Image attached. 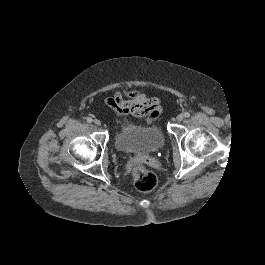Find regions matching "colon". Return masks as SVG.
Masks as SVG:
<instances>
[{"label": "colon", "mask_w": 265, "mask_h": 265, "mask_svg": "<svg viewBox=\"0 0 265 265\" xmlns=\"http://www.w3.org/2000/svg\"><path fill=\"white\" fill-rule=\"evenodd\" d=\"M134 186L141 192H150L157 186L156 175L142 165H137L132 171Z\"/></svg>", "instance_id": "obj_1"}]
</instances>
